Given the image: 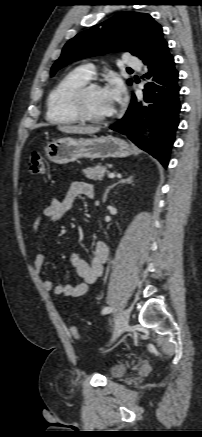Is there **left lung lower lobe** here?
<instances>
[{
  "instance_id": "0a47b994",
  "label": "left lung lower lobe",
  "mask_w": 202,
  "mask_h": 437,
  "mask_svg": "<svg viewBox=\"0 0 202 437\" xmlns=\"http://www.w3.org/2000/svg\"><path fill=\"white\" fill-rule=\"evenodd\" d=\"M144 64L148 68L144 77L149 82L145 84L143 99H137L133 94L124 117L112 124L110 129L127 135L166 168L179 124V73L167 43ZM145 123L152 130L148 142L142 139Z\"/></svg>"
}]
</instances>
